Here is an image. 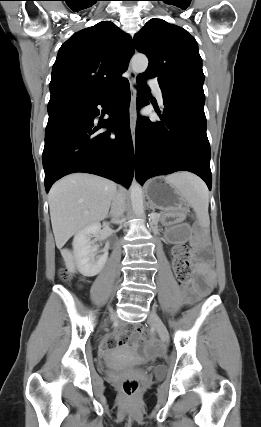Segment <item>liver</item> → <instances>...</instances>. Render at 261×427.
<instances>
[{"instance_id":"6515ba94","label":"liver","mask_w":261,"mask_h":427,"mask_svg":"<svg viewBox=\"0 0 261 427\" xmlns=\"http://www.w3.org/2000/svg\"><path fill=\"white\" fill-rule=\"evenodd\" d=\"M117 185L100 176L75 173L49 192L51 224L58 249L83 228L107 217Z\"/></svg>"}]
</instances>
